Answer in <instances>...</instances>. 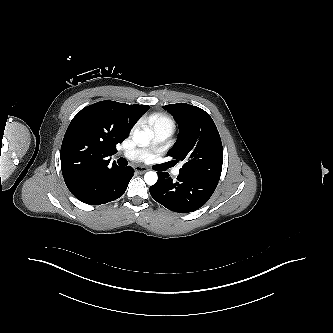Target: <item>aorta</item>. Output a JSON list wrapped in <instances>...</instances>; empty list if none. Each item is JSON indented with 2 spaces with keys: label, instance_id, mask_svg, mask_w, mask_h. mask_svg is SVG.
Here are the masks:
<instances>
[{
  "label": "aorta",
  "instance_id": "1",
  "mask_svg": "<svg viewBox=\"0 0 333 333\" xmlns=\"http://www.w3.org/2000/svg\"><path fill=\"white\" fill-rule=\"evenodd\" d=\"M150 137H151L150 133H148L146 131H142V130H137V129L134 131V134H133L134 142L140 146H146L147 144H149ZM144 180L147 185H150V186L154 185L158 180L157 173L154 171L147 172L144 175Z\"/></svg>",
  "mask_w": 333,
  "mask_h": 333
}]
</instances>
